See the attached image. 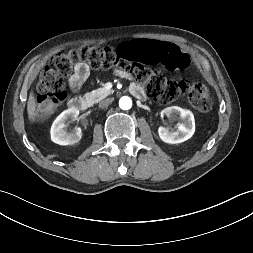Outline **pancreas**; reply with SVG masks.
I'll list each match as a JSON object with an SVG mask.
<instances>
[{
	"instance_id": "cf45deb5",
	"label": "pancreas",
	"mask_w": 253,
	"mask_h": 253,
	"mask_svg": "<svg viewBox=\"0 0 253 253\" xmlns=\"http://www.w3.org/2000/svg\"><path fill=\"white\" fill-rule=\"evenodd\" d=\"M113 92V90H107L104 87L93 90L90 93H87L86 96L92 99L94 102H98L99 100L107 97Z\"/></svg>"
}]
</instances>
